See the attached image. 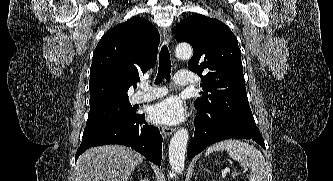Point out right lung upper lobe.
Returning a JSON list of instances; mask_svg holds the SVG:
<instances>
[{
	"label": "right lung upper lobe",
	"mask_w": 333,
	"mask_h": 181,
	"mask_svg": "<svg viewBox=\"0 0 333 181\" xmlns=\"http://www.w3.org/2000/svg\"><path fill=\"white\" fill-rule=\"evenodd\" d=\"M159 40L158 30L142 18L108 30L93 53L90 109L128 99L130 86L155 64Z\"/></svg>",
	"instance_id": "right-lung-upper-lobe-1"
}]
</instances>
